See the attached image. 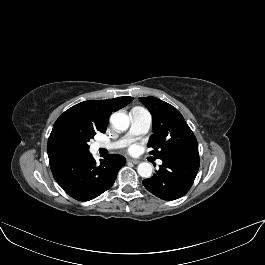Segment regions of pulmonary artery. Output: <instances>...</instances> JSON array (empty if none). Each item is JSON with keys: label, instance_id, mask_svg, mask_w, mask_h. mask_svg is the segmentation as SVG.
<instances>
[{"label": "pulmonary artery", "instance_id": "e3ab8cb5", "mask_svg": "<svg viewBox=\"0 0 265 265\" xmlns=\"http://www.w3.org/2000/svg\"><path fill=\"white\" fill-rule=\"evenodd\" d=\"M131 127L120 139L114 142H99L98 148L118 149L134 141L138 136L148 132L151 125L150 114L141 107H135L130 111ZM161 164V161H158Z\"/></svg>", "mask_w": 265, "mask_h": 265}]
</instances>
